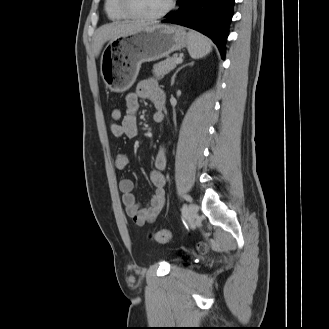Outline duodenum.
I'll return each instance as SVG.
<instances>
[{
	"instance_id": "1",
	"label": "duodenum",
	"mask_w": 329,
	"mask_h": 329,
	"mask_svg": "<svg viewBox=\"0 0 329 329\" xmlns=\"http://www.w3.org/2000/svg\"><path fill=\"white\" fill-rule=\"evenodd\" d=\"M164 120V115L163 113H159L156 118H155V121L156 122H162Z\"/></svg>"
}]
</instances>
